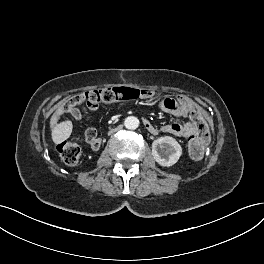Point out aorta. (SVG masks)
Wrapping results in <instances>:
<instances>
[{"mask_svg": "<svg viewBox=\"0 0 264 264\" xmlns=\"http://www.w3.org/2000/svg\"><path fill=\"white\" fill-rule=\"evenodd\" d=\"M124 126L127 128V129H130V130H135L138 128L139 126V120L138 118L134 117V116H129L125 119L124 121Z\"/></svg>", "mask_w": 264, "mask_h": 264, "instance_id": "1", "label": "aorta"}]
</instances>
